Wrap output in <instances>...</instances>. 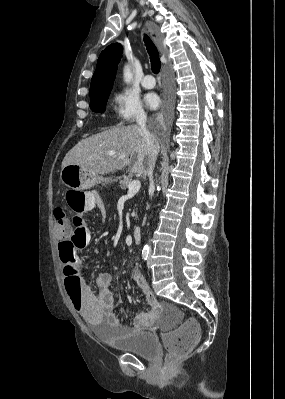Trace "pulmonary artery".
I'll list each match as a JSON object with an SVG mask.
<instances>
[{
  "instance_id": "pulmonary-artery-1",
  "label": "pulmonary artery",
  "mask_w": 285,
  "mask_h": 399,
  "mask_svg": "<svg viewBox=\"0 0 285 399\" xmlns=\"http://www.w3.org/2000/svg\"><path fill=\"white\" fill-rule=\"evenodd\" d=\"M141 84L144 88L151 89L155 86V80L151 73H146L143 77Z\"/></svg>"
}]
</instances>
